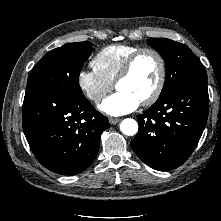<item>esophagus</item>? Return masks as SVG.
<instances>
[{
  "label": "esophagus",
  "mask_w": 221,
  "mask_h": 221,
  "mask_svg": "<svg viewBox=\"0 0 221 221\" xmlns=\"http://www.w3.org/2000/svg\"><path fill=\"white\" fill-rule=\"evenodd\" d=\"M120 121H121L120 118H112V117L109 118V122L114 125L119 123Z\"/></svg>",
  "instance_id": "esophagus-1"
}]
</instances>
